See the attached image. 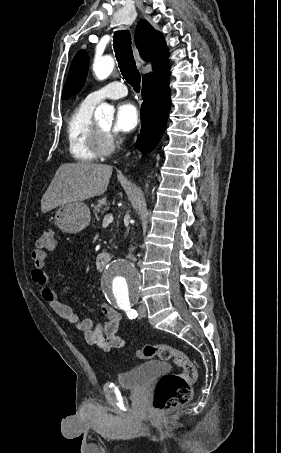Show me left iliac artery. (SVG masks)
<instances>
[{
    "instance_id": "44dca946",
    "label": "left iliac artery",
    "mask_w": 281,
    "mask_h": 453,
    "mask_svg": "<svg viewBox=\"0 0 281 453\" xmlns=\"http://www.w3.org/2000/svg\"><path fill=\"white\" fill-rule=\"evenodd\" d=\"M120 309H123V310L126 311V314L129 317V319H134V318H136L138 316L137 311L134 310V309H131L129 304L120 306Z\"/></svg>"
}]
</instances>
